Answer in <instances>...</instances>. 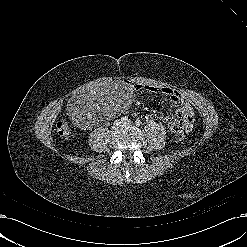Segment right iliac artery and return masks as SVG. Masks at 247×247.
Instances as JSON below:
<instances>
[{
	"label": "right iliac artery",
	"mask_w": 247,
	"mask_h": 247,
	"mask_svg": "<svg viewBox=\"0 0 247 247\" xmlns=\"http://www.w3.org/2000/svg\"><path fill=\"white\" fill-rule=\"evenodd\" d=\"M121 119H122L123 121L128 120V118H127L126 116L122 117Z\"/></svg>",
	"instance_id": "1"
}]
</instances>
